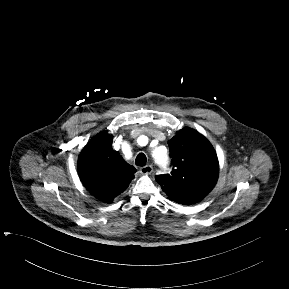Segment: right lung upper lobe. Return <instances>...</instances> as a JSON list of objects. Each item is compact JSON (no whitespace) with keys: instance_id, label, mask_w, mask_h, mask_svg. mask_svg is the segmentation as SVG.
Listing matches in <instances>:
<instances>
[{"instance_id":"cb5924a9","label":"right lung upper lobe","mask_w":289,"mask_h":289,"mask_svg":"<svg viewBox=\"0 0 289 289\" xmlns=\"http://www.w3.org/2000/svg\"><path fill=\"white\" fill-rule=\"evenodd\" d=\"M113 137L97 134L82 150L78 170L83 185L98 199L111 202L134 178L136 169L112 148Z\"/></svg>"}]
</instances>
